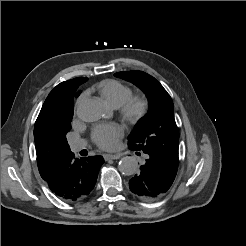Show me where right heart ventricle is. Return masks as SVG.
<instances>
[{
	"instance_id": "right-heart-ventricle-1",
	"label": "right heart ventricle",
	"mask_w": 246,
	"mask_h": 246,
	"mask_svg": "<svg viewBox=\"0 0 246 246\" xmlns=\"http://www.w3.org/2000/svg\"><path fill=\"white\" fill-rule=\"evenodd\" d=\"M97 90L101 97L112 107L121 106L130 96L132 89L126 84L116 79H106L102 81Z\"/></svg>"
}]
</instances>
